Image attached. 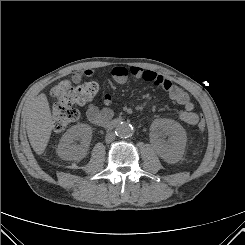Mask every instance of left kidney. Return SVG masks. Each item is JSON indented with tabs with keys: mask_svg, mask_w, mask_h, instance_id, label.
Wrapping results in <instances>:
<instances>
[{
	"mask_svg": "<svg viewBox=\"0 0 245 245\" xmlns=\"http://www.w3.org/2000/svg\"><path fill=\"white\" fill-rule=\"evenodd\" d=\"M152 131L157 137L156 147L159 155L170 162L180 159L187 141L184 128L173 120L161 119L153 122ZM164 136L169 139L165 140Z\"/></svg>",
	"mask_w": 245,
	"mask_h": 245,
	"instance_id": "5707ae66",
	"label": "left kidney"
}]
</instances>
